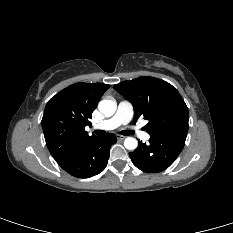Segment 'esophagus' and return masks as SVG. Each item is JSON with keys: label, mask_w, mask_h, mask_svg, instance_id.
<instances>
[{"label": "esophagus", "mask_w": 233, "mask_h": 233, "mask_svg": "<svg viewBox=\"0 0 233 233\" xmlns=\"http://www.w3.org/2000/svg\"><path fill=\"white\" fill-rule=\"evenodd\" d=\"M117 139H118V140H124V139H125V136H123V135H117Z\"/></svg>", "instance_id": "34e87169"}]
</instances>
